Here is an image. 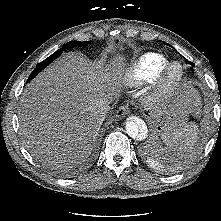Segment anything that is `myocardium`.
I'll list each match as a JSON object with an SVG mask.
<instances>
[{"instance_id": "obj_1", "label": "myocardium", "mask_w": 221, "mask_h": 221, "mask_svg": "<svg viewBox=\"0 0 221 221\" xmlns=\"http://www.w3.org/2000/svg\"><path fill=\"white\" fill-rule=\"evenodd\" d=\"M175 77H173V73ZM185 79V69L181 62L168 63L154 81L151 92L145 100L148 108H158L168 103L179 91Z\"/></svg>"}]
</instances>
